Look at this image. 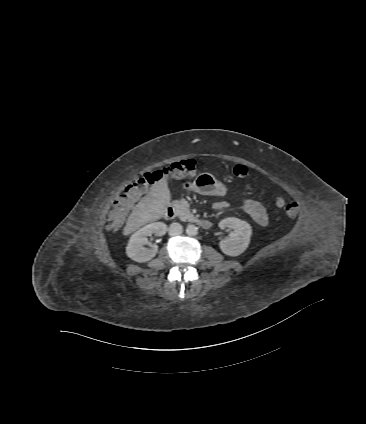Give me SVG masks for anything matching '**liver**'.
<instances>
[{
  "mask_svg": "<svg viewBox=\"0 0 366 424\" xmlns=\"http://www.w3.org/2000/svg\"><path fill=\"white\" fill-rule=\"evenodd\" d=\"M167 177L164 175L161 181L155 183L149 193L134 207L123 229V235H130L143 225L156 221L164 215L171 201Z\"/></svg>",
  "mask_w": 366,
  "mask_h": 424,
  "instance_id": "liver-1",
  "label": "liver"
}]
</instances>
